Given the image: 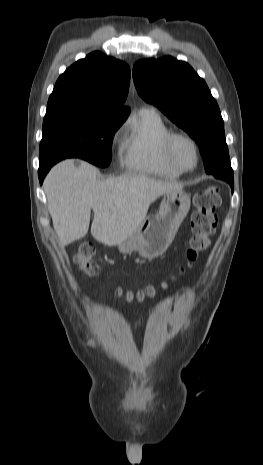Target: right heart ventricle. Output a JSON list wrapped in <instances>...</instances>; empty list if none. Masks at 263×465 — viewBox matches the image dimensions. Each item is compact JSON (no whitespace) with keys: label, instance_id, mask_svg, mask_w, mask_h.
Listing matches in <instances>:
<instances>
[{"label":"right heart ventricle","instance_id":"right-heart-ventricle-1","mask_svg":"<svg viewBox=\"0 0 263 465\" xmlns=\"http://www.w3.org/2000/svg\"><path fill=\"white\" fill-rule=\"evenodd\" d=\"M170 133L160 115L150 109H142L128 125L122 149L123 164L135 174L175 179L181 172L171 167L163 155V141Z\"/></svg>","mask_w":263,"mask_h":465}]
</instances>
